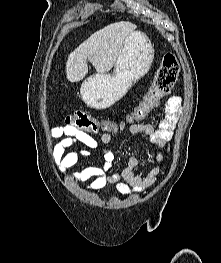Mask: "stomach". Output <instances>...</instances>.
<instances>
[{"label":"stomach","instance_id":"obj_1","mask_svg":"<svg viewBox=\"0 0 221 263\" xmlns=\"http://www.w3.org/2000/svg\"><path fill=\"white\" fill-rule=\"evenodd\" d=\"M153 59L154 48L149 39L139 31L130 33L114 64L113 74L97 73L88 77L80 88L82 99L97 110L112 106L149 71Z\"/></svg>","mask_w":221,"mask_h":263}]
</instances>
